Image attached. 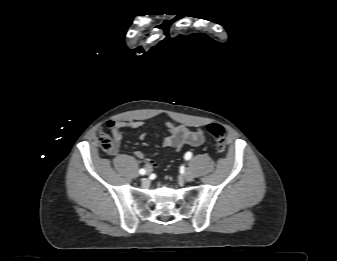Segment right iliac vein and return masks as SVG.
Segmentation results:
<instances>
[{
  "label": "right iliac vein",
  "instance_id": "right-iliac-vein-1",
  "mask_svg": "<svg viewBox=\"0 0 337 261\" xmlns=\"http://www.w3.org/2000/svg\"><path fill=\"white\" fill-rule=\"evenodd\" d=\"M150 172H151V170H150V169H147V172H146V173H147V174H150Z\"/></svg>",
  "mask_w": 337,
  "mask_h": 261
}]
</instances>
